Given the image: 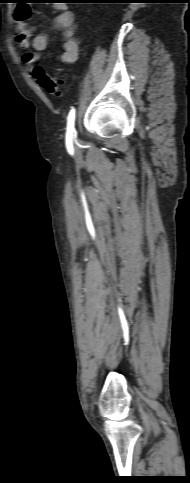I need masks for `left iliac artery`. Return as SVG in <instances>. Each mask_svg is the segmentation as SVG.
<instances>
[{"mask_svg":"<svg viewBox=\"0 0 190 483\" xmlns=\"http://www.w3.org/2000/svg\"><path fill=\"white\" fill-rule=\"evenodd\" d=\"M74 123H75V109L72 108L67 118V132H66L67 138H71L73 135V132L75 131Z\"/></svg>","mask_w":190,"mask_h":483,"instance_id":"1","label":"left iliac artery"}]
</instances>
